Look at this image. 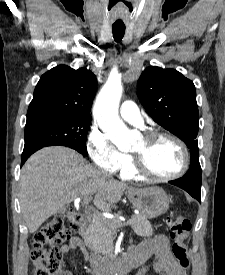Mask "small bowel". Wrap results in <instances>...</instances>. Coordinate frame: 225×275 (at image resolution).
<instances>
[{"label": "small bowel", "mask_w": 225, "mask_h": 275, "mask_svg": "<svg viewBox=\"0 0 225 275\" xmlns=\"http://www.w3.org/2000/svg\"><path fill=\"white\" fill-rule=\"evenodd\" d=\"M83 249L81 238L74 236L61 247L63 254H68L74 249ZM130 254L139 263V270L136 275H147L152 271L156 275H187L185 270L180 267L169 250V241L163 235H156L145 240L131 249ZM154 260L150 262V258ZM59 275H72L68 271H62Z\"/></svg>", "instance_id": "small-bowel-1"}]
</instances>
